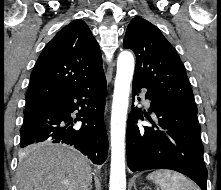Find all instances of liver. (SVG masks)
<instances>
[{
	"mask_svg": "<svg viewBox=\"0 0 221 190\" xmlns=\"http://www.w3.org/2000/svg\"><path fill=\"white\" fill-rule=\"evenodd\" d=\"M19 159L18 190H87L92 183L88 158L69 146L35 145Z\"/></svg>",
	"mask_w": 221,
	"mask_h": 190,
	"instance_id": "liver-1",
	"label": "liver"
}]
</instances>
